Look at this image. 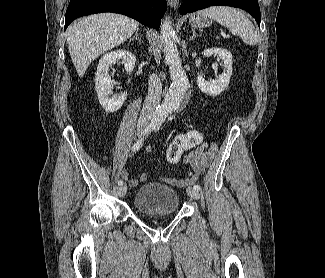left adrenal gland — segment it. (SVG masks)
Wrapping results in <instances>:
<instances>
[{
    "mask_svg": "<svg viewBox=\"0 0 325 278\" xmlns=\"http://www.w3.org/2000/svg\"><path fill=\"white\" fill-rule=\"evenodd\" d=\"M196 37H200V35H196L195 30H192V36L190 37V40L195 39Z\"/></svg>",
    "mask_w": 325,
    "mask_h": 278,
    "instance_id": "left-adrenal-gland-1",
    "label": "left adrenal gland"
}]
</instances>
